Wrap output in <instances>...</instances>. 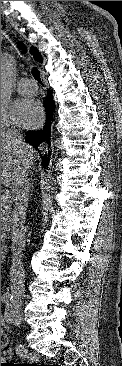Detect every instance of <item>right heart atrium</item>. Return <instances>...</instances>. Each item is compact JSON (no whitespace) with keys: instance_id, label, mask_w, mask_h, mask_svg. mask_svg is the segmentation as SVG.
<instances>
[{"instance_id":"d8ad5b80","label":"right heart atrium","mask_w":122,"mask_h":366,"mask_svg":"<svg viewBox=\"0 0 122 366\" xmlns=\"http://www.w3.org/2000/svg\"><path fill=\"white\" fill-rule=\"evenodd\" d=\"M15 122L13 121V118H9V116L6 114V111L1 108V131L6 129H14L15 128Z\"/></svg>"}]
</instances>
